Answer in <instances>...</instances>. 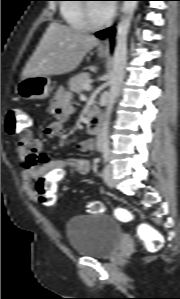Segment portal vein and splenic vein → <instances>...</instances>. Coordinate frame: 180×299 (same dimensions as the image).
<instances>
[{
	"instance_id": "portal-vein-and-splenic-vein-1",
	"label": "portal vein and splenic vein",
	"mask_w": 180,
	"mask_h": 299,
	"mask_svg": "<svg viewBox=\"0 0 180 299\" xmlns=\"http://www.w3.org/2000/svg\"><path fill=\"white\" fill-rule=\"evenodd\" d=\"M92 87H91V85L90 84H84L83 85V89L84 90H90Z\"/></svg>"
}]
</instances>
